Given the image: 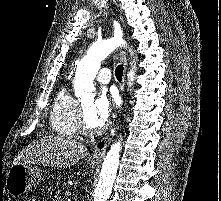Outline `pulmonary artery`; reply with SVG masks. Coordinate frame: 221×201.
Listing matches in <instances>:
<instances>
[{
    "label": "pulmonary artery",
    "mask_w": 221,
    "mask_h": 201,
    "mask_svg": "<svg viewBox=\"0 0 221 201\" xmlns=\"http://www.w3.org/2000/svg\"><path fill=\"white\" fill-rule=\"evenodd\" d=\"M110 79H111V73H110V70L108 68L101 69L100 72L98 73L97 77H96V80L99 83H102V84L109 83Z\"/></svg>",
    "instance_id": "obj_1"
}]
</instances>
